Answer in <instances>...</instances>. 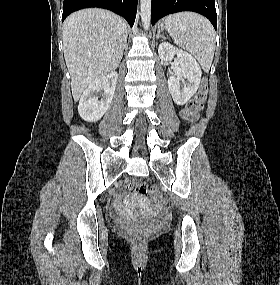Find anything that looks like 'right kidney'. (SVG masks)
Listing matches in <instances>:
<instances>
[{
    "label": "right kidney",
    "instance_id": "1",
    "mask_svg": "<svg viewBox=\"0 0 280 285\" xmlns=\"http://www.w3.org/2000/svg\"><path fill=\"white\" fill-rule=\"evenodd\" d=\"M117 79L118 73L112 71L108 75L96 79L87 87L78 105V112L82 119L88 122H96L102 118L112 102ZM101 89L104 91L103 96L98 100L96 94Z\"/></svg>",
    "mask_w": 280,
    "mask_h": 285
}]
</instances>
